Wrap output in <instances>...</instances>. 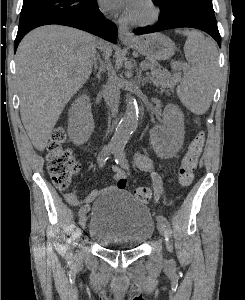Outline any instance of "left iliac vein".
<instances>
[{
  "label": "left iliac vein",
  "mask_w": 245,
  "mask_h": 300,
  "mask_svg": "<svg viewBox=\"0 0 245 300\" xmlns=\"http://www.w3.org/2000/svg\"><path fill=\"white\" fill-rule=\"evenodd\" d=\"M157 229L161 235L165 234V224L158 220Z\"/></svg>",
  "instance_id": "obj_1"
}]
</instances>
